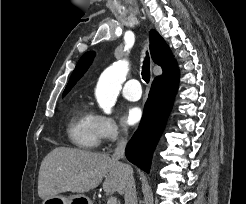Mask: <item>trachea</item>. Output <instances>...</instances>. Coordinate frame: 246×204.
<instances>
[{
	"label": "trachea",
	"instance_id": "1",
	"mask_svg": "<svg viewBox=\"0 0 246 204\" xmlns=\"http://www.w3.org/2000/svg\"><path fill=\"white\" fill-rule=\"evenodd\" d=\"M142 78L146 83L150 81V58L148 52H146V56L142 66Z\"/></svg>",
	"mask_w": 246,
	"mask_h": 204
}]
</instances>
